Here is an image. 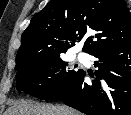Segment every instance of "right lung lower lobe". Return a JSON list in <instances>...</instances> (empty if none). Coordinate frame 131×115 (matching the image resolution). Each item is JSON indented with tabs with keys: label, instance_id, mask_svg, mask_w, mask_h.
<instances>
[{
	"label": "right lung lower lobe",
	"instance_id": "right-lung-lower-lobe-1",
	"mask_svg": "<svg viewBox=\"0 0 131 115\" xmlns=\"http://www.w3.org/2000/svg\"><path fill=\"white\" fill-rule=\"evenodd\" d=\"M96 78L84 82L85 72L58 98L86 115H131V44L93 54Z\"/></svg>",
	"mask_w": 131,
	"mask_h": 115
}]
</instances>
